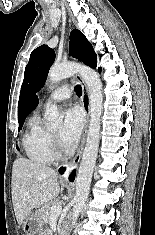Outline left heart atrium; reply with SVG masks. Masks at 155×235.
Here are the masks:
<instances>
[{
    "instance_id": "left-heart-atrium-1",
    "label": "left heart atrium",
    "mask_w": 155,
    "mask_h": 235,
    "mask_svg": "<svg viewBox=\"0 0 155 235\" xmlns=\"http://www.w3.org/2000/svg\"><path fill=\"white\" fill-rule=\"evenodd\" d=\"M84 115L78 108H71L65 112L64 123L60 132V139L64 146H73L82 133Z\"/></svg>"
}]
</instances>
